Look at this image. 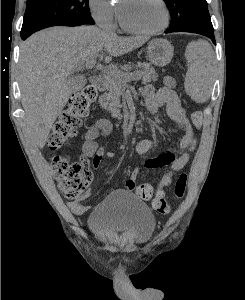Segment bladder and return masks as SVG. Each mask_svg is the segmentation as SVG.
I'll use <instances>...</instances> for the list:
<instances>
[{
    "mask_svg": "<svg viewBox=\"0 0 245 300\" xmlns=\"http://www.w3.org/2000/svg\"><path fill=\"white\" fill-rule=\"evenodd\" d=\"M88 225L96 239L114 243L119 239L142 245L152 237L156 221L149 207L128 191H113L91 211Z\"/></svg>",
    "mask_w": 245,
    "mask_h": 300,
    "instance_id": "bladder-1",
    "label": "bladder"
}]
</instances>
